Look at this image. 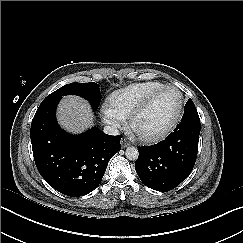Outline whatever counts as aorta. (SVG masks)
Wrapping results in <instances>:
<instances>
[{
  "label": "aorta",
  "instance_id": "1",
  "mask_svg": "<svg viewBox=\"0 0 243 243\" xmlns=\"http://www.w3.org/2000/svg\"><path fill=\"white\" fill-rule=\"evenodd\" d=\"M125 156L128 160H137L139 156L138 149L135 147H128L125 151Z\"/></svg>",
  "mask_w": 243,
  "mask_h": 243
}]
</instances>
